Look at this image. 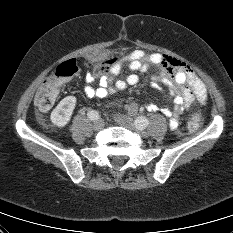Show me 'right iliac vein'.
Listing matches in <instances>:
<instances>
[{
    "label": "right iliac vein",
    "mask_w": 233,
    "mask_h": 233,
    "mask_svg": "<svg viewBox=\"0 0 233 233\" xmlns=\"http://www.w3.org/2000/svg\"><path fill=\"white\" fill-rule=\"evenodd\" d=\"M103 127H104V122L102 119H98V120L94 121V124H93L94 130H101V129H103Z\"/></svg>",
    "instance_id": "63e3f726"
}]
</instances>
